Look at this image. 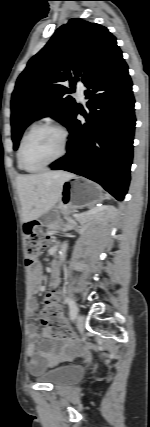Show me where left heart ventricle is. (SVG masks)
I'll use <instances>...</instances> for the list:
<instances>
[{
	"mask_svg": "<svg viewBox=\"0 0 150 427\" xmlns=\"http://www.w3.org/2000/svg\"><path fill=\"white\" fill-rule=\"evenodd\" d=\"M61 138L58 132L42 129L34 133L26 144L24 164L36 169L54 159L60 152Z\"/></svg>",
	"mask_w": 150,
	"mask_h": 427,
	"instance_id": "left-heart-ventricle-1",
	"label": "left heart ventricle"
}]
</instances>
